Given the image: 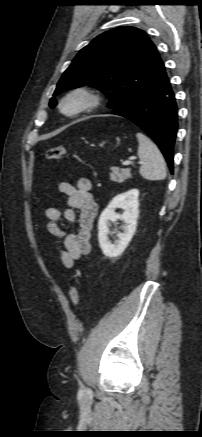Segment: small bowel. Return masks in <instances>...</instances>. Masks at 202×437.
Here are the masks:
<instances>
[{
	"label": "small bowel",
	"mask_w": 202,
	"mask_h": 437,
	"mask_svg": "<svg viewBox=\"0 0 202 437\" xmlns=\"http://www.w3.org/2000/svg\"><path fill=\"white\" fill-rule=\"evenodd\" d=\"M57 190L66 196L67 209L61 213L57 208L48 207L44 215L47 231L63 240V248L58 255L51 251H47L46 255L58 260L64 267L72 268L76 261L91 251V230L98 213V204L91 194L92 183L88 178H79L75 185L61 182ZM62 218L68 223H77L78 227L72 232L64 231L60 226Z\"/></svg>",
	"instance_id": "small-bowel-1"
}]
</instances>
